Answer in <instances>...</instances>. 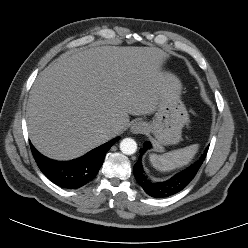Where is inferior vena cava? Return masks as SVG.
I'll return each mask as SVG.
<instances>
[{
	"label": "inferior vena cava",
	"mask_w": 248,
	"mask_h": 248,
	"mask_svg": "<svg viewBox=\"0 0 248 248\" xmlns=\"http://www.w3.org/2000/svg\"><path fill=\"white\" fill-rule=\"evenodd\" d=\"M107 133L113 135L114 133H116V129H108Z\"/></svg>",
	"instance_id": "602c4592"
}]
</instances>
